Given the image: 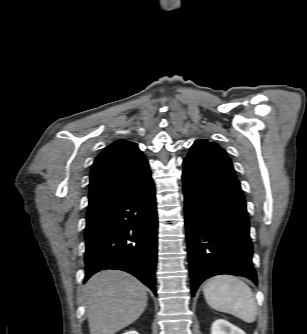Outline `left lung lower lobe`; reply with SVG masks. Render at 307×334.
<instances>
[{
  "instance_id": "obj_1",
  "label": "left lung lower lobe",
  "mask_w": 307,
  "mask_h": 334,
  "mask_svg": "<svg viewBox=\"0 0 307 334\" xmlns=\"http://www.w3.org/2000/svg\"><path fill=\"white\" fill-rule=\"evenodd\" d=\"M182 179L192 295L204 280L218 274L257 283L249 218L238 179L191 166L184 167Z\"/></svg>"
}]
</instances>
